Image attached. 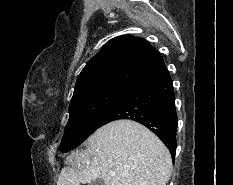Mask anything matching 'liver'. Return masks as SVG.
Masks as SVG:
<instances>
[{
  "label": "liver",
  "mask_w": 233,
  "mask_h": 185,
  "mask_svg": "<svg viewBox=\"0 0 233 185\" xmlns=\"http://www.w3.org/2000/svg\"><path fill=\"white\" fill-rule=\"evenodd\" d=\"M84 150L67 156L57 185L102 178L104 185H166L172 170L169 150L145 126L116 120L97 129Z\"/></svg>",
  "instance_id": "1"
}]
</instances>
